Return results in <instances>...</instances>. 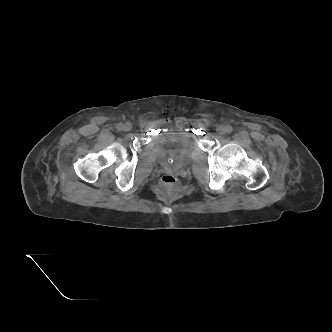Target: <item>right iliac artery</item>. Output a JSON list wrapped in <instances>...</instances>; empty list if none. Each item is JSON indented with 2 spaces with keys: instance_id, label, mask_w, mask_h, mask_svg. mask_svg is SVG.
<instances>
[{
  "instance_id": "obj_1",
  "label": "right iliac artery",
  "mask_w": 332,
  "mask_h": 332,
  "mask_svg": "<svg viewBox=\"0 0 332 332\" xmlns=\"http://www.w3.org/2000/svg\"><path fill=\"white\" fill-rule=\"evenodd\" d=\"M122 126H123L122 123L117 124V129H118V130H121V129H122Z\"/></svg>"
}]
</instances>
